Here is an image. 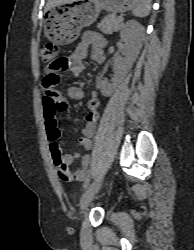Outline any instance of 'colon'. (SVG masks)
Listing matches in <instances>:
<instances>
[{"mask_svg":"<svg viewBox=\"0 0 194 250\" xmlns=\"http://www.w3.org/2000/svg\"><path fill=\"white\" fill-rule=\"evenodd\" d=\"M58 45L55 43H46L40 49L41 60L52 67L54 70L60 69L61 65L64 63L62 58L57 57ZM48 85L54 87L60 83V76L57 73H52L45 78ZM44 111L46 113H53L57 108L58 104L55 102L51 95H45L43 99ZM54 138V137H53ZM54 163L57 167V172L59 176L67 181L70 179V172L68 168L62 163L59 157V152L56 153Z\"/></svg>","mask_w":194,"mask_h":250,"instance_id":"5ec220e1","label":"colon"}]
</instances>
